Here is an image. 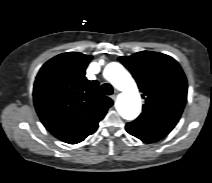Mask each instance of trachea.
<instances>
[{
    "mask_svg": "<svg viewBox=\"0 0 212 183\" xmlns=\"http://www.w3.org/2000/svg\"><path fill=\"white\" fill-rule=\"evenodd\" d=\"M102 91L105 95H112L113 94V87L109 83H104L102 85Z\"/></svg>",
    "mask_w": 212,
    "mask_h": 183,
    "instance_id": "trachea-1",
    "label": "trachea"
}]
</instances>
